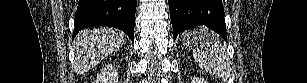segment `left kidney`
Masks as SVG:
<instances>
[{
	"mask_svg": "<svg viewBox=\"0 0 307 83\" xmlns=\"http://www.w3.org/2000/svg\"><path fill=\"white\" fill-rule=\"evenodd\" d=\"M191 83H207V81L203 78L193 77L191 79Z\"/></svg>",
	"mask_w": 307,
	"mask_h": 83,
	"instance_id": "left-kidney-1",
	"label": "left kidney"
}]
</instances>
